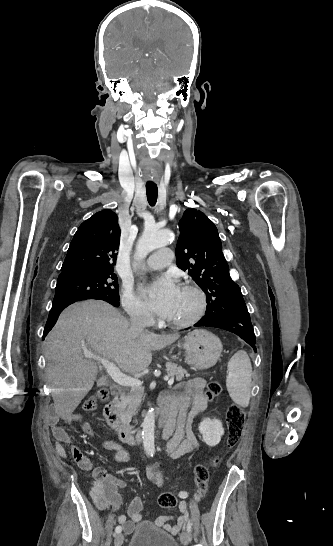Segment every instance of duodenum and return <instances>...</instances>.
Returning <instances> with one entry per match:
<instances>
[{
  "instance_id": "410a0bca",
  "label": "duodenum",
  "mask_w": 333,
  "mask_h": 546,
  "mask_svg": "<svg viewBox=\"0 0 333 546\" xmlns=\"http://www.w3.org/2000/svg\"><path fill=\"white\" fill-rule=\"evenodd\" d=\"M120 394L121 388L119 386L111 387V400L104 409V416L107 425L116 435L119 441L130 445H136L140 441V436L133 426L126 425L122 421L120 411L118 409ZM160 425L164 432L166 428L165 419L160 422Z\"/></svg>"
}]
</instances>
